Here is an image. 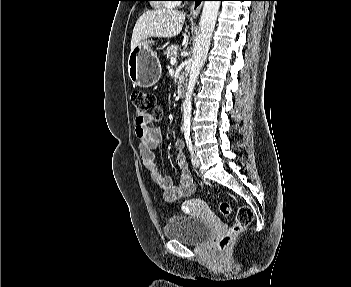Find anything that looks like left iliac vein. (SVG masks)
I'll use <instances>...</instances> for the list:
<instances>
[{
  "mask_svg": "<svg viewBox=\"0 0 351 287\" xmlns=\"http://www.w3.org/2000/svg\"><path fill=\"white\" fill-rule=\"evenodd\" d=\"M191 162L193 167L198 168L200 166V160L197 155H195L193 152L191 153Z\"/></svg>",
  "mask_w": 351,
  "mask_h": 287,
  "instance_id": "1",
  "label": "left iliac vein"
}]
</instances>
